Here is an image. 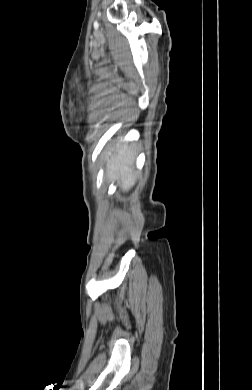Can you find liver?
Wrapping results in <instances>:
<instances>
[{"label": "liver", "instance_id": "liver-1", "mask_svg": "<svg viewBox=\"0 0 252 390\" xmlns=\"http://www.w3.org/2000/svg\"><path fill=\"white\" fill-rule=\"evenodd\" d=\"M108 154H112V159L108 163L106 177L111 182L117 181L123 191H128L136 181V173L133 171L135 147L117 143L109 148Z\"/></svg>", "mask_w": 252, "mask_h": 390}]
</instances>
